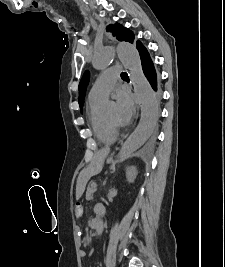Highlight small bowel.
<instances>
[{"label": "small bowel", "instance_id": "obj_1", "mask_svg": "<svg viewBox=\"0 0 225 267\" xmlns=\"http://www.w3.org/2000/svg\"><path fill=\"white\" fill-rule=\"evenodd\" d=\"M80 256H81V257H85V256H86V252L83 251V250H81V251H80Z\"/></svg>", "mask_w": 225, "mask_h": 267}]
</instances>
